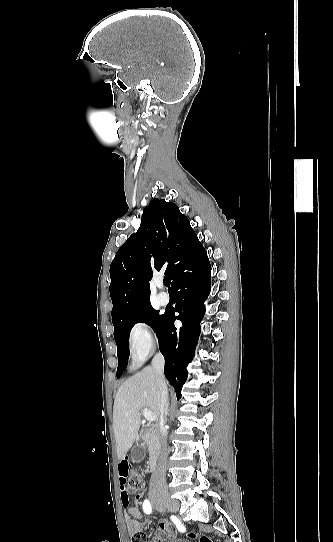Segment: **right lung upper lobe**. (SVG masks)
Listing matches in <instances>:
<instances>
[{
  "label": "right lung upper lobe",
  "mask_w": 333,
  "mask_h": 542,
  "mask_svg": "<svg viewBox=\"0 0 333 542\" xmlns=\"http://www.w3.org/2000/svg\"><path fill=\"white\" fill-rule=\"evenodd\" d=\"M198 240L188 218L174 203L153 199L139 230L118 249L110 266L112 320L150 304L153 270L174 279L177 253Z\"/></svg>",
  "instance_id": "obj_1"
}]
</instances>
